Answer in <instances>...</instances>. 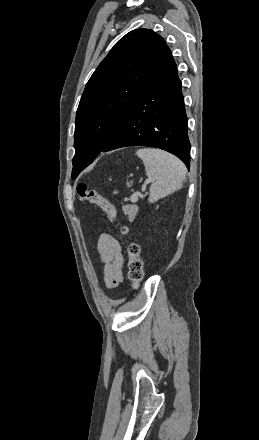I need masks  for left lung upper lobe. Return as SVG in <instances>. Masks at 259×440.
Instances as JSON below:
<instances>
[{"mask_svg": "<svg viewBox=\"0 0 259 440\" xmlns=\"http://www.w3.org/2000/svg\"><path fill=\"white\" fill-rule=\"evenodd\" d=\"M166 46L148 29L121 38L92 74L75 121L72 179L113 140L146 87Z\"/></svg>", "mask_w": 259, "mask_h": 440, "instance_id": "obj_1", "label": "left lung upper lobe"}]
</instances>
